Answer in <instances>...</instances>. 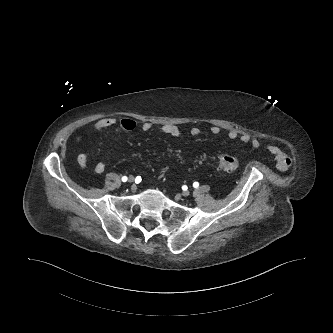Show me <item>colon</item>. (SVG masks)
<instances>
[{
    "label": "colon",
    "instance_id": "1",
    "mask_svg": "<svg viewBox=\"0 0 333 333\" xmlns=\"http://www.w3.org/2000/svg\"><path fill=\"white\" fill-rule=\"evenodd\" d=\"M218 166L227 173L235 172L239 167V160L233 155H221L218 158Z\"/></svg>",
    "mask_w": 333,
    "mask_h": 333
}]
</instances>
